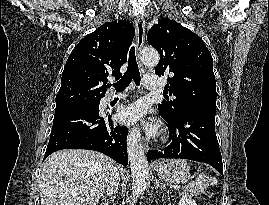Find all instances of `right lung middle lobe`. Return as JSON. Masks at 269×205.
<instances>
[{
    "instance_id": "right-lung-middle-lobe-1",
    "label": "right lung middle lobe",
    "mask_w": 269,
    "mask_h": 205,
    "mask_svg": "<svg viewBox=\"0 0 269 205\" xmlns=\"http://www.w3.org/2000/svg\"><path fill=\"white\" fill-rule=\"evenodd\" d=\"M67 109H93V110H99V102H92V103H85V104L67 106V107H63V108H56V111L67 110Z\"/></svg>"
}]
</instances>
